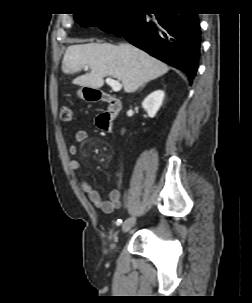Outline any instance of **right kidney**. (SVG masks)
<instances>
[{"label": "right kidney", "instance_id": "obj_1", "mask_svg": "<svg viewBox=\"0 0 252 303\" xmlns=\"http://www.w3.org/2000/svg\"><path fill=\"white\" fill-rule=\"evenodd\" d=\"M164 91L156 90L149 94L144 101L142 102V106L147 112L148 116L153 118L155 117L157 111L160 109L163 99H164Z\"/></svg>", "mask_w": 252, "mask_h": 303}]
</instances>
